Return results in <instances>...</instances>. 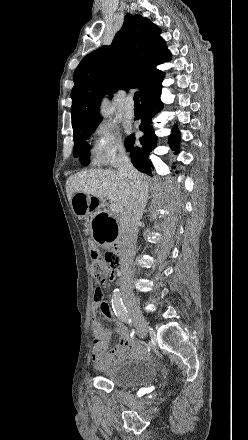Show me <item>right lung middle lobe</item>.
Segmentation results:
<instances>
[{
    "label": "right lung middle lobe",
    "instance_id": "dd1d6c3e",
    "mask_svg": "<svg viewBox=\"0 0 248 440\" xmlns=\"http://www.w3.org/2000/svg\"><path fill=\"white\" fill-rule=\"evenodd\" d=\"M95 129L90 131H85L79 134L74 135V157H79L80 161L83 165H88L89 156H90V145L87 140L94 133ZM126 143V141H125Z\"/></svg>",
    "mask_w": 248,
    "mask_h": 440
}]
</instances>
